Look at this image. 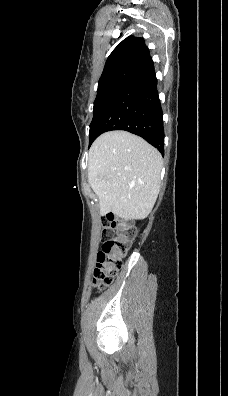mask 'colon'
<instances>
[{
	"instance_id": "obj_1",
	"label": "colon",
	"mask_w": 228,
	"mask_h": 396,
	"mask_svg": "<svg viewBox=\"0 0 228 396\" xmlns=\"http://www.w3.org/2000/svg\"><path fill=\"white\" fill-rule=\"evenodd\" d=\"M103 233L106 239L97 255L92 280L97 290H103L112 283L122 267V257L129 251L135 237V230L112 213L106 216Z\"/></svg>"
}]
</instances>
